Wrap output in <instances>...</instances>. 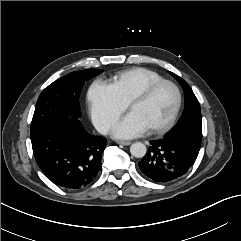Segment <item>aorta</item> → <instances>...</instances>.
I'll return each instance as SVG.
<instances>
[{
  "instance_id": "aorta-1",
  "label": "aorta",
  "mask_w": 241,
  "mask_h": 241,
  "mask_svg": "<svg viewBox=\"0 0 241 241\" xmlns=\"http://www.w3.org/2000/svg\"><path fill=\"white\" fill-rule=\"evenodd\" d=\"M147 148L142 142H135L130 147V153L136 158H142L145 156Z\"/></svg>"
}]
</instances>
